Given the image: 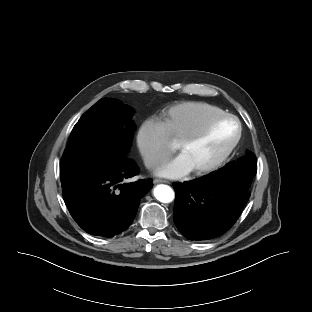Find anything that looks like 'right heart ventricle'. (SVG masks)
Returning a JSON list of instances; mask_svg holds the SVG:
<instances>
[{"label":"right heart ventricle","instance_id":"e07e8e85","mask_svg":"<svg viewBox=\"0 0 312 312\" xmlns=\"http://www.w3.org/2000/svg\"><path fill=\"white\" fill-rule=\"evenodd\" d=\"M218 106L205 102H182L163 111L160 121L170 139L179 142L200 128L207 120L225 114Z\"/></svg>","mask_w":312,"mask_h":312}]
</instances>
